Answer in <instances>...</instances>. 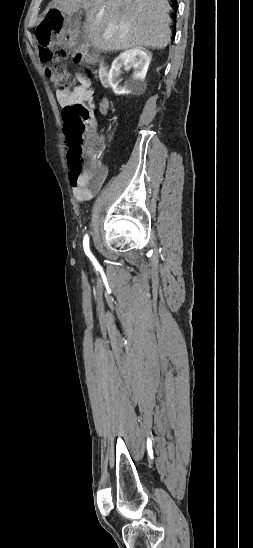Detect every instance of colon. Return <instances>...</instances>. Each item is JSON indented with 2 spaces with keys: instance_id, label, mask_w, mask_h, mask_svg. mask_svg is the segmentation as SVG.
Wrapping results in <instances>:
<instances>
[{
  "instance_id": "5ec220e1",
  "label": "colon",
  "mask_w": 253,
  "mask_h": 548,
  "mask_svg": "<svg viewBox=\"0 0 253 548\" xmlns=\"http://www.w3.org/2000/svg\"><path fill=\"white\" fill-rule=\"evenodd\" d=\"M37 40L40 57L45 64V73L59 91H68L74 80L63 63L71 50L75 63L89 64L94 59V51L82 43L67 45V33L61 12L51 10L37 27ZM66 136L68 141L67 160L72 182L85 177L97 178L103 166L97 160L99 142L87 135L91 112L84 103H76L63 109Z\"/></svg>"
}]
</instances>
